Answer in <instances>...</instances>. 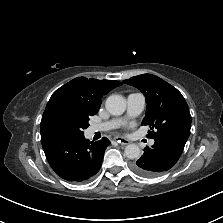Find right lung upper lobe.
<instances>
[{
	"label": "right lung upper lobe",
	"instance_id": "cb5924a9",
	"mask_svg": "<svg viewBox=\"0 0 223 223\" xmlns=\"http://www.w3.org/2000/svg\"><path fill=\"white\" fill-rule=\"evenodd\" d=\"M120 85L122 83L116 80L78 77L57 89L48 101L42 116V146L63 138L57 127V119L63 112L78 110L94 115L102 103L101 98Z\"/></svg>",
	"mask_w": 223,
	"mask_h": 223
}]
</instances>
